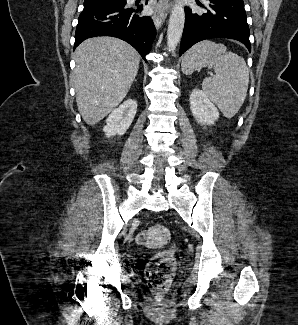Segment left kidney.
<instances>
[{"instance_id":"1","label":"left kidney","mask_w":298,"mask_h":325,"mask_svg":"<svg viewBox=\"0 0 298 325\" xmlns=\"http://www.w3.org/2000/svg\"><path fill=\"white\" fill-rule=\"evenodd\" d=\"M189 104L195 120L200 124H215V120H218L220 114L218 108L200 88H193L189 94Z\"/></svg>"}]
</instances>
